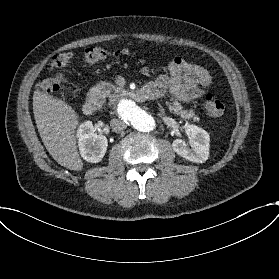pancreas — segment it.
<instances>
[{
    "label": "pancreas",
    "mask_w": 279,
    "mask_h": 279,
    "mask_svg": "<svg viewBox=\"0 0 279 279\" xmlns=\"http://www.w3.org/2000/svg\"><path fill=\"white\" fill-rule=\"evenodd\" d=\"M96 94L100 98H105V97H110L111 96V91L114 89V85L101 81L97 85L94 86ZM169 106V110L173 112L174 114H179L182 118L189 119L194 117V112L192 110L187 111L183 110L182 106L178 102H174L173 105H170V103H166Z\"/></svg>",
    "instance_id": "1"
}]
</instances>
